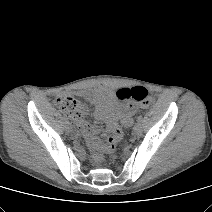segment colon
<instances>
[{"instance_id": "1", "label": "colon", "mask_w": 212, "mask_h": 212, "mask_svg": "<svg viewBox=\"0 0 212 212\" xmlns=\"http://www.w3.org/2000/svg\"><path fill=\"white\" fill-rule=\"evenodd\" d=\"M119 100H133L140 105L147 106L152 102L149 91L143 86H134L130 88H122L116 92ZM61 112L73 119L82 117L85 113V106L71 96H61L57 100ZM122 132L119 128L115 129L107 141L102 146V152L111 158L115 156L117 144L122 139ZM102 154L98 153L96 159L100 161Z\"/></svg>"}]
</instances>
